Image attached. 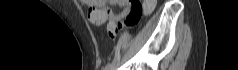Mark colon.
<instances>
[{"label":"colon","mask_w":238,"mask_h":70,"mask_svg":"<svg viewBox=\"0 0 238 70\" xmlns=\"http://www.w3.org/2000/svg\"><path fill=\"white\" fill-rule=\"evenodd\" d=\"M155 5L156 0H145L144 2H140L138 0H129V12L127 14L126 24L128 26L136 25L144 13H150L153 11ZM119 28V19H108L107 32L110 37H115Z\"/></svg>","instance_id":"obj_1"}]
</instances>
